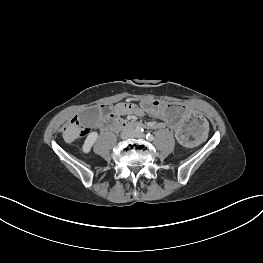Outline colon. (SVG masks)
Listing matches in <instances>:
<instances>
[{
    "label": "colon",
    "instance_id": "1",
    "mask_svg": "<svg viewBox=\"0 0 263 263\" xmlns=\"http://www.w3.org/2000/svg\"><path fill=\"white\" fill-rule=\"evenodd\" d=\"M110 111H111V106L108 105V104L103 105V106L101 107V112H102L103 114H105V115L108 114ZM73 123H76V126H77V128H78V129H77V134H78L79 136L85 135V134L87 133V129H86L85 127L79 125L78 122H76V121H74Z\"/></svg>",
    "mask_w": 263,
    "mask_h": 263
}]
</instances>
